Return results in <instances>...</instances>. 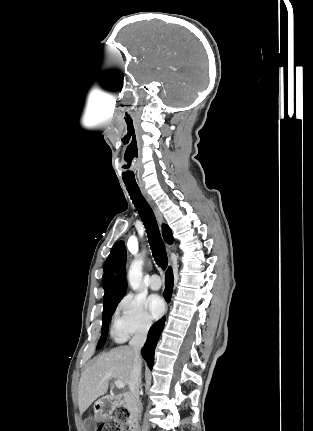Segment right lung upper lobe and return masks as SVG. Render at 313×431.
Listing matches in <instances>:
<instances>
[{"mask_svg":"<svg viewBox=\"0 0 313 431\" xmlns=\"http://www.w3.org/2000/svg\"><path fill=\"white\" fill-rule=\"evenodd\" d=\"M163 237L169 244L174 239L170 228L163 224ZM126 248L123 241L114 244L109 256L106 259L103 274L104 305L122 299L127 290L126 281Z\"/></svg>","mask_w":313,"mask_h":431,"instance_id":"cb5924a9","label":"right lung upper lobe"}]
</instances>
